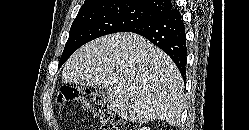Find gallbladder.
<instances>
[{"mask_svg":"<svg viewBox=\"0 0 249 130\" xmlns=\"http://www.w3.org/2000/svg\"><path fill=\"white\" fill-rule=\"evenodd\" d=\"M95 94L100 97L107 96V88L103 85H99L95 87Z\"/></svg>","mask_w":249,"mask_h":130,"instance_id":"bac80fb5","label":"gallbladder"}]
</instances>
